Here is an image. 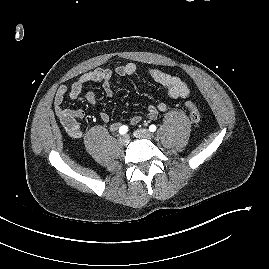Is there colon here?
Instances as JSON below:
<instances>
[{
	"instance_id": "colon-1",
	"label": "colon",
	"mask_w": 269,
	"mask_h": 269,
	"mask_svg": "<svg viewBox=\"0 0 269 269\" xmlns=\"http://www.w3.org/2000/svg\"><path fill=\"white\" fill-rule=\"evenodd\" d=\"M186 107L189 111L190 120L195 125L198 126L201 122V114L193 101H186Z\"/></svg>"
}]
</instances>
